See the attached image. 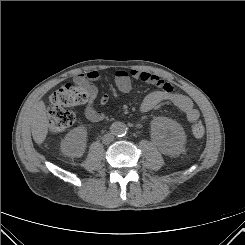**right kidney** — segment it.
Wrapping results in <instances>:
<instances>
[{
  "mask_svg": "<svg viewBox=\"0 0 245 245\" xmlns=\"http://www.w3.org/2000/svg\"><path fill=\"white\" fill-rule=\"evenodd\" d=\"M87 129L76 127L72 129L61 143L62 152L71 157H80L86 147Z\"/></svg>",
  "mask_w": 245,
  "mask_h": 245,
  "instance_id": "obj_1",
  "label": "right kidney"
}]
</instances>
